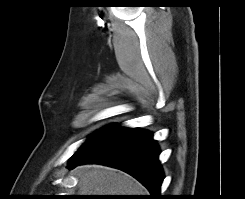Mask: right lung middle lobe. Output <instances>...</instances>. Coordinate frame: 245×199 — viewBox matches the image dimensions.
<instances>
[{
  "label": "right lung middle lobe",
  "instance_id": "right-lung-middle-lobe-1",
  "mask_svg": "<svg viewBox=\"0 0 245 199\" xmlns=\"http://www.w3.org/2000/svg\"><path fill=\"white\" fill-rule=\"evenodd\" d=\"M115 128L114 125H110L108 127H105L104 129H101L100 131H98L95 135H93L92 137H90L87 141H85L80 147L79 149L76 151H80L84 148H86L87 146L95 143L96 141L100 140L101 138H103L106 134H108L110 131H112Z\"/></svg>",
  "mask_w": 245,
  "mask_h": 199
}]
</instances>
